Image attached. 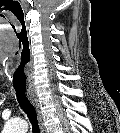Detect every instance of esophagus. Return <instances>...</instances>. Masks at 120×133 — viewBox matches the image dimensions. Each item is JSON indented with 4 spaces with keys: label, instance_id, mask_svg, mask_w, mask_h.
I'll list each match as a JSON object with an SVG mask.
<instances>
[{
    "label": "esophagus",
    "instance_id": "obj_1",
    "mask_svg": "<svg viewBox=\"0 0 120 133\" xmlns=\"http://www.w3.org/2000/svg\"><path fill=\"white\" fill-rule=\"evenodd\" d=\"M27 95L36 109L41 133H46L44 121H43V115H42V111H41V107H40V103H39V99H38L36 90L29 89L27 91Z\"/></svg>",
    "mask_w": 120,
    "mask_h": 133
}]
</instances>
